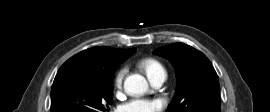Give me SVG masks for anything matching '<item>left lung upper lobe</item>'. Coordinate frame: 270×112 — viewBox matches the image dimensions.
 <instances>
[{"label":"left lung upper lobe","mask_w":270,"mask_h":112,"mask_svg":"<svg viewBox=\"0 0 270 112\" xmlns=\"http://www.w3.org/2000/svg\"><path fill=\"white\" fill-rule=\"evenodd\" d=\"M154 53L177 68V89L166 112H220L218 76L202 52L177 43L160 47Z\"/></svg>","instance_id":"5c2ea615"}]
</instances>
